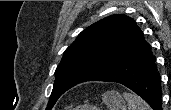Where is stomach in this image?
Segmentation results:
<instances>
[{
    "mask_svg": "<svg viewBox=\"0 0 171 110\" xmlns=\"http://www.w3.org/2000/svg\"><path fill=\"white\" fill-rule=\"evenodd\" d=\"M102 100L108 110H126V103L122 96L116 91H107L102 95Z\"/></svg>",
    "mask_w": 171,
    "mask_h": 110,
    "instance_id": "obj_1",
    "label": "stomach"
}]
</instances>
